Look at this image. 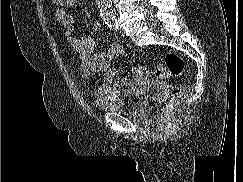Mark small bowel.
Wrapping results in <instances>:
<instances>
[{
	"label": "small bowel",
	"mask_w": 243,
	"mask_h": 182,
	"mask_svg": "<svg viewBox=\"0 0 243 182\" xmlns=\"http://www.w3.org/2000/svg\"><path fill=\"white\" fill-rule=\"evenodd\" d=\"M76 2L77 0H69L68 6L74 5ZM55 18L65 29L66 39L79 60L80 73L85 81L90 84L96 74L105 75L103 83L93 91L96 97H109L116 95L120 90L131 92L137 89V83L121 78L119 72L111 68L112 62L124 52L119 43H112L105 51L93 53L94 42L90 37L73 34L74 19L66 9H56ZM101 28L100 21L93 23L94 31L98 32Z\"/></svg>",
	"instance_id": "1"
}]
</instances>
